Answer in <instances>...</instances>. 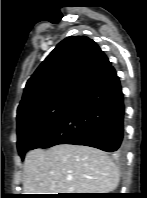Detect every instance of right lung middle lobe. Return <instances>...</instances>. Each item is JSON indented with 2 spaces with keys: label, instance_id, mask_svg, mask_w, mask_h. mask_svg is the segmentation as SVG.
Returning <instances> with one entry per match:
<instances>
[{
  "label": "right lung middle lobe",
  "instance_id": "dd1d6c3e",
  "mask_svg": "<svg viewBox=\"0 0 147 198\" xmlns=\"http://www.w3.org/2000/svg\"><path fill=\"white\" fill-rule=\"evenodd\" d=\"M74 103L73 100L49 102L17 118V148L22 159L25 153L58 123Z\"/></svg>",
  "mask_w": 147,
  "mask_h": 198
}]
</instances>
